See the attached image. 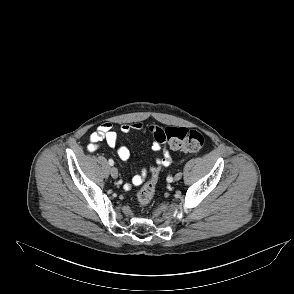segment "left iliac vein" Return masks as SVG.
I'll list each match as a JSON object with an SVG mask.
<instances>
[{"instance_id":"4c4485c4","label":"left iliac vein","mask_w":294,"mask_h":294,"mask_svg":"<svg viewBox=\"0 0 294 294\" xmlns=\"http://www.w3.org/2000/svg\"><path fill=\"white\" fill-rule=\"evenodd\" d=\"M181 177H182V173L179 172V173H177V174L174 176L173 180L178 181V180L181 179Z\"/></svg>"}]
</instances>
